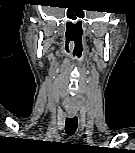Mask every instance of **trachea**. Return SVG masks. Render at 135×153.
Returning a JSON list of instances; mask_svg holds the SVG:
<instances>
[{"mask_svg": "<svg viewBox=\"0 0 135 153\" xmlns=\"http://www.w3.org/2000/svg\"><path fill=\"white\" fill-rule=\"evenodd\" d=\"M78 126V119L77 117L67 118L65 122V131L68 135H73Z\"/></svg>", "mask_w": 135, "mask_h": 153, "instance_id": "trachea-1", "label": "trachea"}]
</instances>
